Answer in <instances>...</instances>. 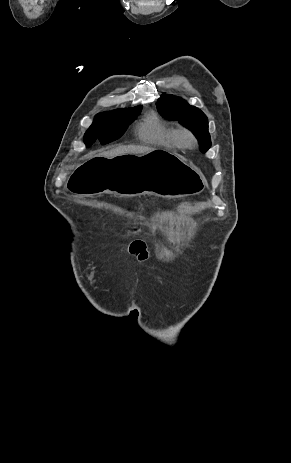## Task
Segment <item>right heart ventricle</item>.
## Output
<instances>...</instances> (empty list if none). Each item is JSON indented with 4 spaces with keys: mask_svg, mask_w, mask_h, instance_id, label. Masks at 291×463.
Here are the masks:
<instances>
[{
    "mask_svg": "<svg viewBox=\"0 0 291 463\" xmlns=\"http://www.w3.org/2000/svg\"><path fill=\"white\" fill-rule=\"evenodd\" d=\"M138 136L141 140L168 147H179L177 130L160 119L156 114L147 115L138 129Z\"/></svg>",
    "mask_w": 291,
    "mask_h": 463,
    "instance_id": "1",
    "label": "right heart ventricle"
}]
</instances>
